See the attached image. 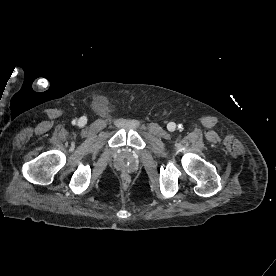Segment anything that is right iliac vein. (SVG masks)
Returning <instances> with one entry per match:
<instances>
[{
    "instance_id": "63e3f726",
    "label": "right iliac vein",
    "mask_w": 276,
    "mask_h": 276,
    "mask_svg": "<svg viewBox=\"0 0 276 276\" xmlns=\"http://www.w3.org/2000/svg\"><path fill=\"white\" fill-rule=\"evenodd\" d=\"M85 123H86V121H85L84 118H81V119L79 120V124H80V125H84Z\"/></svg>"
}]
</instances>
